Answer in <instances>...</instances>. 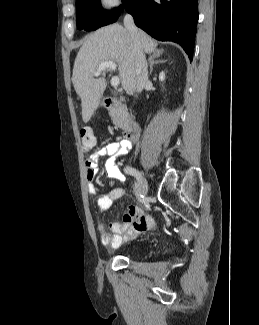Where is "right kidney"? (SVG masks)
<instances>
[{
	"label": "right kidney",
	"mask_w": 259,
	"mask_h": 325,
	"mask_svg": "<svg viewBox=\"0 0 259 325\" xmlns=\"http://www.w3.org/2000/svg\"><path fill=\"white\" fill-rule=\"evenodd\" d=\"M159 80L161 82H163L165 80V73L163 71L159 74Z\"/></svg>",
	"instance_id": "right-kidney-1"
}]
</instances>
